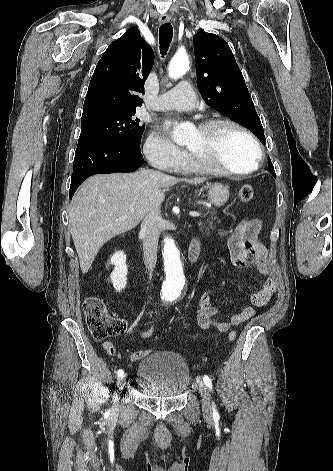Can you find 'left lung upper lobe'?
I'll return each instance as SVG.
<instances>
[{"label": "left lung upper lobe", "instance_id": "obj_1", "mask_svg": "<svg viewBox=\"0 0 333 471\" xmlns=\"http://www.w3.org/2000/svg\"><path fill=\"white\" fill-rule=\"evenodd\" d=\"M193 41L197 85L204 101L266 144L260 118L229 45L220 36L203 30L194 35ZM268 172L276 177L270 158Z\"/></svg>", "mask_w": 333, "mask_h": 471}]
</instances>
